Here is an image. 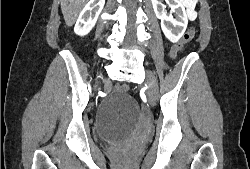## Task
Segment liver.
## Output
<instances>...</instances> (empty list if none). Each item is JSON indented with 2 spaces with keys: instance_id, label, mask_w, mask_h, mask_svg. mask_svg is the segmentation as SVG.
<instances>
[{
  "instance_id": "6515ba94",
  "label": "liver",
  "mask_w": 250,
  "mask_h": 169,
  "mask_svg": "<svg viewBox=\"0 0 250 169\" xmlns=\"http://www.w3.org/2000/svg\"><path fill=\"white\" fill-rule=\"evenodd\" d=\"M60 2L64 20L67 26H72L88 0H60Z\"/></svg>"
}]
</instances>
